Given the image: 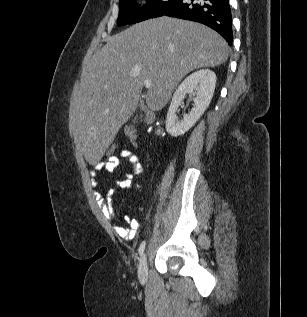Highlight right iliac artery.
<instances>
[{
	"instance_id": "right-iliac-artery-1",
	"label": "right iliac artery",
	"mask_w": 307,
	"mask_h": 317,
	"mask_svg": "<svg viewBox=\"0 0 307 317\" xmlns=\"http://www.w3.org/2000/svg\"><path fill=\"white\" fill-rule=\"evenodd\" d=\"M145 245H146V242L143 241L141 244H140V247H139V255L142 256L144 250H145Z\"/></svg>"
}]
</instances>
